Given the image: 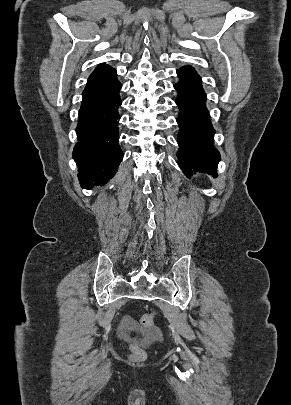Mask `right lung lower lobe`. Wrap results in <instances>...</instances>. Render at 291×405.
I'll use <instances>...</instances> for the list:
<instances>
[{
  "label": "right lung lower lobe",
  "instance_id": "right-lung-lower-lobe-1",
  "mask_svg": "<svg viewBox=\"0 0 291 405\" xmlns=\"http://www.w3.org/2000/svg\"><path fill=\"white\" fill-rule=\"evenodd\" d=\"M122 85L116 72L87 83L79 110L78 142L73 159L83 188L107 183L123 158L119 146V95Z\"/></svg>",
  "mask_w": 291,
  "mask_h": 405
}]
</instances>
